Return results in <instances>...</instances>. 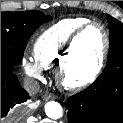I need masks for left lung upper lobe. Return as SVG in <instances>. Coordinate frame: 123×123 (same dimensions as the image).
<instances>
[{
    "mask_svg": "<svg viewBox=\"0 0 123 123\" xmlns=\"http://www.w3.org/2000/svg\"><path fill=\"white\" fill-rule=\"evenodd\" d=\"M110 29V47L106 67L99 78L109 82L123 75V24L110 15H106Z\"/></svg>",
    "mask_w": 123,
    "mask_h": 123,
    "instance_id": "1",
    "label": "left lung upper lobe"
}]
</instances>
